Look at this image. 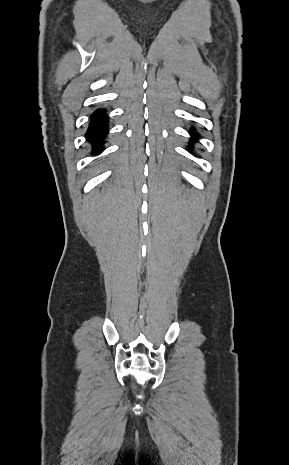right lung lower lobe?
Returning <instances> with one entry per match:
<instances>
[{"label": "right lung lower lobe", "mask_w": 289, "mask_h": 465, "mask_svg": "<svg viewBox=\"0 0 289 465\" xmlns=\"http://www.w3.org/2000/svg\"><path fill=\"white\" fill-rule=\"evenodd\" d=\"M107 119L104 110H99L93 114L89 128L87 130V139L93 145V151L100 153L102 144H104L105 134L107 133Z\"/></svg>", "instance_id": "98d812e1"}]
</instances>
